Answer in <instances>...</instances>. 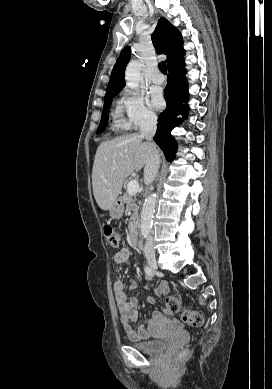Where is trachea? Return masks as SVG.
I'll list each match as a JSON object with an SVG mask.
<instances>
[{"mask_svg": "<svg viewBox=\"0 0 272 389\" xmlns=\"http://www.w3.org/2000/svg\"><path fill=\"white\" fill-rule=\"evenodd\" d=\"M159 69L163 74H167V66L165 62H160L159 63Z\"/></svg>", "mask_w": 272, "mask_h": 389, "instance_id": "obj_1", "label": "trachea"}]
</instances>
